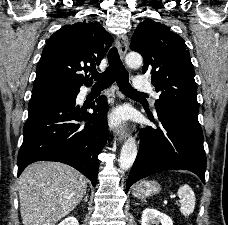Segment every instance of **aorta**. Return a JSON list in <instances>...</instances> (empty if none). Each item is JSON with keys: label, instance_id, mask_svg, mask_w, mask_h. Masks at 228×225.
<instances>
[{"label": "aorta", "instance_id": "1", "mask_svg": "<svg viewBox=\"0 0 228 225\" xmlns=\"http://www.w3.org/2000/svg\"><path fill=\"white\" fill-rule=\"evenodd\" d=\"M126 62L128 66H141L143 64V58L138 52H129L126 56ZM137 157V145L134 137H129L125 141L119 159V167L122 171H128L132 167Z\"/></svg>", "mask_w": 228, "mask_h": 225}]
</instances>
